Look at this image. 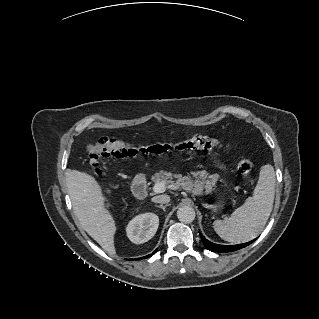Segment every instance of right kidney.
I'll use <instances>...</instances> for the list:
<instances>
[{"instance_id": "obj_1", "label": "right kidney", "mask_w": 319, "mask_h": 319, "mask_svg": "<svg viewBox=\"0 0 319 319\" xmlns=\"http://www.w3.org/2000/svg\"><path fill=\"white\" fill-rule=\"evenodd\" d=\"M159 226V218L154 213H144L134 217L127 225L128 238L135 244L150 240Z\"/></svg>"}]
</instances>
